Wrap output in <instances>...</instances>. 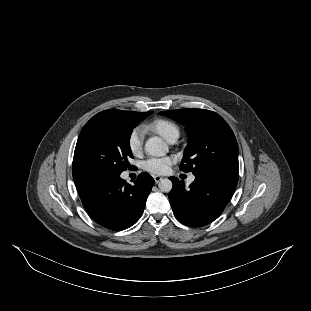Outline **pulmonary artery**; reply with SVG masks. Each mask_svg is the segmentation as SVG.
I'll return each instance as SVG.
<instances>
[{
  "mask_svg": "<svg viewBox=\"0 0 311 311\" xmlns=\"http://www.w3.org/2000/svg\"><path fill=\"white\" fill-rule=\"evenodd\" d=\"M195 180V177L194 176H191V177H189V179H188V181L191 183V182H193Z\"/></svg>",
  "mask_w": 311,
  "mask_h": 311,
  "instance_id": "1",
  "label": "pulmonary artery"
}]
</instances>
